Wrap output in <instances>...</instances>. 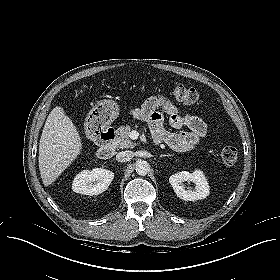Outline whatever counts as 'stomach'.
Returning <instances> with one entry per match:
<instances>
[{"label": "stomach", "mask_w": 280, "mask_h": 280, "mask_svg": "<svg viewBox=\"0 0 280 280\" xmlns=\"http://www.w3.org/2000/svg\"><path fill=\"white\" fill-rule=\"evenodd\" d=\"M118 114L119 106L117 103L111 100H103L92 109L86 120V125L88 126L90 123H96L99 118H103L105 122L111 123L117 118Z\"/></svg>", "instance_id": "1"}]
</instances>
